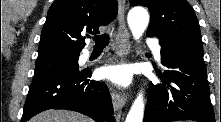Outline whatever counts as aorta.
<instances>
[{
    "instance_id": "obj_1",
    "label": "aorta",
    "mask_w": 221,
    "mask_h": 122,
    "mask_svg": "<svg viewBox=\"0 0 221 122\" xmlns=\"http://www.w3.org/2000/svg\"><path fill=\"white\" fill-rule=\"evenodd\" d=\"M128 24L134 39L139 40L149 24V14L143 7L132 8L128 13ZM144 117L143 93H139L133 102L125 122H142Z\"/></svg>"
}]
</instances>
